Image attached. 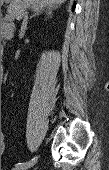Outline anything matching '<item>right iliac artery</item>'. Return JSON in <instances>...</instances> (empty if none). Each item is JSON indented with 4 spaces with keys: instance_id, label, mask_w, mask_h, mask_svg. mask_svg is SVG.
Listing matches in <instances>:
<instances>
[{
    "instance_id": "82829eb1",
    "label": "right iliac artery",
    "mask_w": 109,
    "mask_h": 170,
    "mask_svg": "<svg viewBox=\"0 0 109 170\" xmlns=\"http://www.w3.org/2000/svg\"><path fill=\"white\" fill-rule=\"evenodd\" d=\"M37 161V157H34L33 159H31L30 161L28 162H25V163H17L16 164V167H19V166H26V167H32Z\"/></svg>"
}]
</instances>
